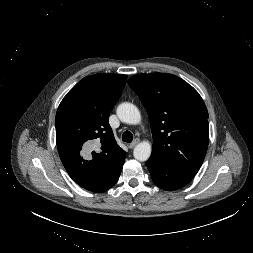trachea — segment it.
I'll return each mask as SVG.
<instances>
[{
    "label": "trachea",
    "instance_id": "1",
    "mask_svg": "<svg viewBox=\"0 0 253 253\" xmlns=\"http://www.w3.org/2000/svg\"><path fill=\"white\" fill-rule=\"evenodd\" d=\"M122 140H123L124 142H127V143L132 142V140H133V134H132L130 131H125V132L122 134Z\"/></svg>",
    "mask_w": 253,
    "mask_h": 253
}]
</instances>
